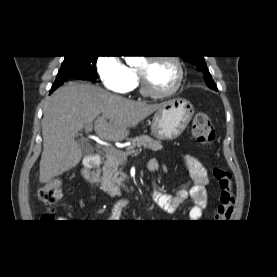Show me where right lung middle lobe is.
<instances>
[{
	"mask_svg": "<svg viewBox=\"0 0 277 277\" xmlns=\"http://www.w3.org/2000/svg\"><path fill=\"white\" fill-rule=\"evenodd\" d=\"M96 61L97 56H65L58 74L76 73L94 81L96 79Z\"/></svg>",
	"mask_w": 277,
	"mask_h": 277,
	"instance_id": "1",
	"label": "right lung middle lobe"
}]
</instances>
